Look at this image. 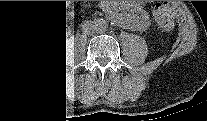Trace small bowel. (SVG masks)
Wrapping results in <instances>:
<instances>
[{
    "label": "small bowel",
    "instance_id": "small-bowel-1",
    "mask_svg": "<svg viewBox=\"0 0 207 121\" xmlns=\"http://www.w3.org/2000/svg\"><path fill=\"white\" fill-rule=\"evenodd\" d=\"M61 5L67 9V19L71 23L74 18L73 2L60 1ZM101 9L114 21L134 30L145 31L150 25L148 17L144 14L142 4L130 3L126 9L128 12H121L116 6L109 1L100 2ZM72 25L67 26V31L70 32Z\"/></svg>",
    "mask_w": 207,
    "mask_h": 121
}]
</instances>
